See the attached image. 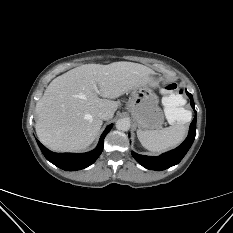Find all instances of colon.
<instances>
[{"mask_svg":"<svg viewBox=\"0 0 233 233\" xmlns=\"http://www.w3.org/2000/svg\"><path fill=\"white\" fill-rule=\"evenodd\" d=\"M163 93V106L167 119L172 124L184 125L191 118L182 90L174 82H162L160 84Z\"/></svg>","mask_w":233,"mask_h":233,"instance_id":"colon-1","label":"colon"}]
</instances>
